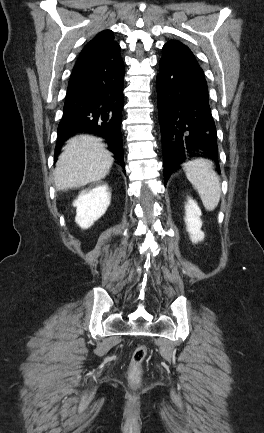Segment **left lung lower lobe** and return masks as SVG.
I'll return each instance as SVG.
<instances>
[{"mask_svg": "<svg viewBox=\"0 0 264 433\" xmlns=\"http://www.w3.org/2000/svg\"><path fill=\"white\" fill-rule=\"evenodd\" d=\"M159 66L158 113L166 184L195 151L218 165L217 134L207 82L196 59L184 52H163Z\"/></svg>", "mask_w": 264, "mask_h": 433, "instance_id": "1", "label": "left lung lower lobe"}]
</instances>
